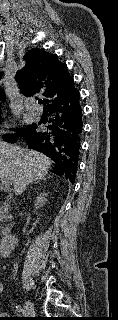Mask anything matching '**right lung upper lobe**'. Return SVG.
<instances>
[{
	"instance_id": "1",
	"label": "right lung upper lobe",
	"mask_w": 118,
	"mask_h": 320,
	"mask_svg": "<svg viewBox=\"0 0 118 320\" xmlns=\"http://www.w3.org/2000/svg\"><path fill=\"white\" fill-rule=\"evenodd\" d=\"M24 59L26 65L16 75L24 95L41 94L48 104L75 87L66 64L59 62L57 55L47 53L44 49H32L25 54ZM3 96L0 90V98Z\"/></svg>"
}]
</instances>
